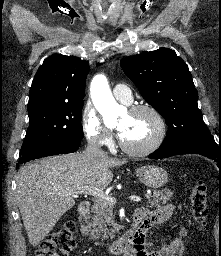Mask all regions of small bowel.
<instances>
[{"instance_id":"obj_1","label":"small bowel","mask_w":221,"mask_h":256,"mask_svg":"<svg viewBox=\"0 0 221 256\" xmlns=\"http://www.w3.org/2000/svg\"><path fill=\"white\" fill-rule=\"evenodd\" d=\"M135 213L141 217L139 235L126 251L125 256H183L185 250L183 241L185 232L183 229L168 247L158 250H152L150 248L151 242L146 238L147 232L153 226L167 221L173 215L174 206L172 204L154 210L139 208Z\"/></svg>"}]
</instances>
